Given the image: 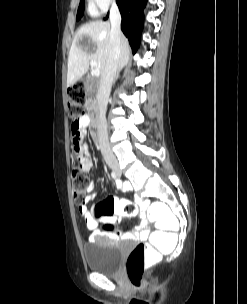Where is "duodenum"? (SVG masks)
I'll list each match as a JSON object with an SVG mask.
<instances>
[{"instance_id":"410a0bca","label":"duodenum","mask_w":247,"mask_h":304,"mask_svg":"<svg viewBox=\"0 0 247 304\" xmlns=\"http://www.w3.org/2000/svg\"><path fill=\"white\" fill-rule=\"evenodd\" d=\"M86 109H89V113H93L94 115H92V119L89 120V123H90V135L94 138V143L97 145L99 142V136H98V129H97V126H98V123H97V116L99 114V107L94 104V105H91V104H86Z\"/></svg>"}]
</instances>
